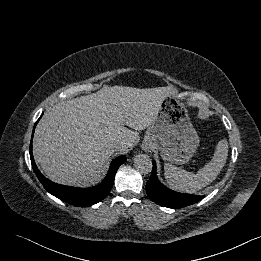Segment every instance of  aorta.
<instances>
[{
  "instance_id": "1",
  "label": "aorta",
  "mask_w": 261,
  "mask_h": 261,
  "mask_svg": "<svg viewBox=\"0 0 261 261\" xmlns=\"http://www.w3.org/2000/svg\"><path fill=\"white\" fill-rule=\"evenodd\" d=\"M134 166L141 173L148 174L152 170V161L147 154H138L134 158Z\"/></svg>"
}]
</instances>
